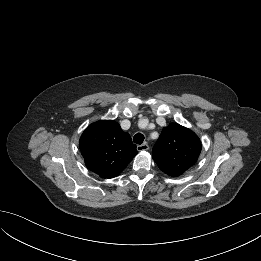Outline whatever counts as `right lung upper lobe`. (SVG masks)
<instances>
[{"instance_id": "1", "label": "right lung upper lobe", "mask_w": 261, "mask_h": 261, "mask_svg": "<svg viewBox=\"0 0 261 261\" xmlns=\"http://www.w3.org/2000/svg\"><path fill=\"white\" fill-rule=\"evenodd\" d=\"M79 147L87 168L102 178L118 176L138 153L130 135L113 120L88 126Z\"/></svg>"}]
</instances>
